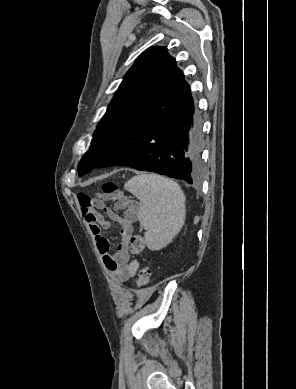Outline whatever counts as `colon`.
I'll return each instance as SVG.
<instances>
[{
	"label": "colon",
	"mask_w": 296,
	"mask_h": 389,
	"mask_svg": "<svg viewBox=\"0 0 296 389\" xmlns=\"http://www.w3.org/2000/svg\"><path fill=\"white\" fill-rule=\"evenodd\" d=\"M105 194V200L109 203H119L123 198L119 194L117 185L113 182H107L102 187ZM144 239L142 235L135 234L129 240V250L133 255H138L144 250ZM151 280V269L148 266L139 271L138 284L140 287H146Z\"/></svg>",
	"instance_id": "colon-1"
}]
</instances>
